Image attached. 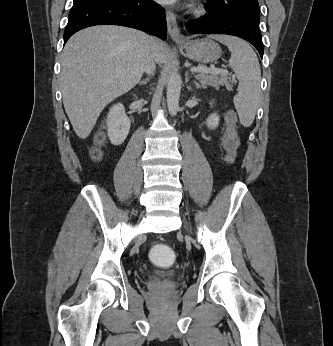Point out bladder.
I'll return each mask as SVG.
<instances>
[{
    "instance_id": "obj_1",
    "label": "bladder",
    "mask_w": 333,
    "mask_h": 346,
    "mask_svg": "<svg viewBox=\"0 0 333 346\" xmlns=\"http://www.w3.org/2000/svg\"><path fill=\"white\" fill-rule=\"evenodd\" d=\"M179 277L178 273L173 271L163 275V279L167 281L176 280Z\"/></svg>"
}]
</instances>
